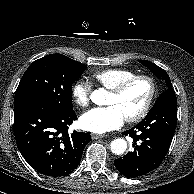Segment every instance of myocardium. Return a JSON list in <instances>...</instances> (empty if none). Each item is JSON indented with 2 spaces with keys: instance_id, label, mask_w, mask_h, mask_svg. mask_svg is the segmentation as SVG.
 Segmentation results:
<instances>
[{
  "instance_id": "f54148a6",
  "label": "myocardium",
  "mask_w": 194,
  "mask_h": 194,
  "mask_svg": "<svg viewBox=\"0 0 194 194\" xmlns=\"http://www.w3.org/2000/svg\"><path fill=\"white\" fill-rule=\"evenodd\" d=\"M139 80H143V81L148 83L149 95H148V98L146 100L145 105L137 114H135L131 117L125 118L126 122H128V123L138 122V121L142 120L143 118H145L147 116V114L149 113L151 106L153 104V101L155 99V95H156L155 80L151 76H148V75H134V76L120 82L114 88L110 89L111 94L118 96V95H121L132 83L139 81Z\"/></svg>"
}]
</instances>
